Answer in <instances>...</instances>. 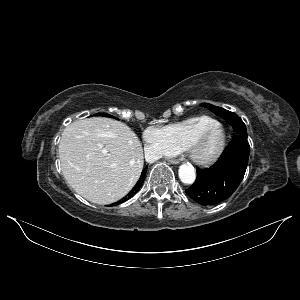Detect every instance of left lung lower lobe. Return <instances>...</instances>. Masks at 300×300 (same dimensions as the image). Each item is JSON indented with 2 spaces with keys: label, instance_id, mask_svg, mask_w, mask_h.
I'll return each instance as SVG.
<instances>
[{
  "label": "left lung lower lobe",
  "instance_id": "1",
  "mask_svg": "<svg viewBox=\"0 0 300 300\" xmlns=\"http://www.w3.org/2000/svg\"><path fill=\"white\" fill-rule=\"evenodd\" d=\"M250 146L246 138L236 136L219 160L208 169H197L194 184L186 193L205 206L229 198L241 183L248 164Z\"/></svg>",
  "mask_w": 300,
  "mask_h": 300
}]
</instances>
